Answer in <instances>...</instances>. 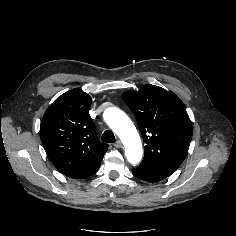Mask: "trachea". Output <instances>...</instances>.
I'll list each match as a JSON object with an SVG mask.
<instances>
[{"mask_svg":"<svg viewBox=\"0 0 236 236\" xmlns=\"http://www.w3.org/2000/svg\"><path fill=\"white\" fill-rule=\"evenodd\" d=\"M101 140L106 143H114L116 141L115 136L112 131L106 130L102 137Z\"/></svg>","mask_w":236,"mask_h":236,"instance_id":"1","label":"trachea"}]
</instances>
